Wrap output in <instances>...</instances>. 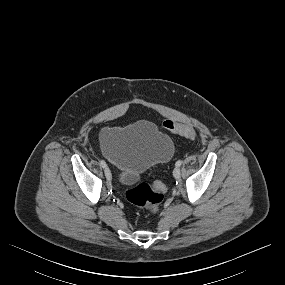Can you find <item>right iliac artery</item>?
<instances>
[{"label": "right iliac artery", "instance_id": "1", "mask_svg": "<svg viewBox=\"0 0 285 285\" xmlns=\"http://www.w3.org/2000/svg\"><path fill=\"white\" fill-rule=\"evenodd\" d=\"M100 165L103 167V168H106L107 167V164L104 160H101L100 161Z\"/></svg>", "mask_w": 285, "mask_h": 285}]
</instances>
